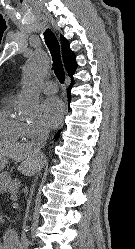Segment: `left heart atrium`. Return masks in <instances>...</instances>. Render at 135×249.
I'll list each match as a JSON object with an SVG mask.
<instances>
[{
    "instance_id": "39dd6f15",
    "label": "left heart atrium",
    "mask_w": 135,
    "mask_h": 249,
    "mask_svg": "<svg viewBox=\"0 0 135 249\" xmlns=\"http://www.w3.org/2000/svg\"><path fill=\"white\" fill-rule=\"evenodd\" d=\"M64 104L57 97H50L43 101L41 105V117L43 123L48 127H56L64 115Z\"/></svg>"
}]
</instances>
